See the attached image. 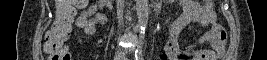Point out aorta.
Here are the masks:
<instances>
[{"label":"aorta","instance_id":"762f6f07","mask_svg":"<svg viewBox=\"0 0 267 60\" xmlns=\"http://www.w3.org/2000/svg\"><path fill=\"white\" fill-rule=\"evenodd\" d=\"M138 17V28L140 31V38H144L145 28L147 27L149 9L147 0H136L135 6Z\"/></svg>","mask_w":267,"mask_h":60}]
</instances>
